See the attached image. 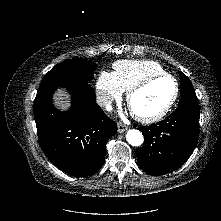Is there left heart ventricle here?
Instances as JSON below:
<instances>
[{
  "label": "left heart ventricle",
  "mask_w": 221,
  "mask_h": 221,
  "mask_svg": "<svg viewBox=\"0 0 221 221\" xmlns=\"http://www.w3.org/2000/svg\"><path fill=\"white\" fill-rule=\"evenodd\" d=\"M174 84L168 78L155 80L146 89L136 94L131 101V109L139 115H153L159 112L171 99Z\"/></svg>",
  "instance_id": "1"
}]
</instances>
